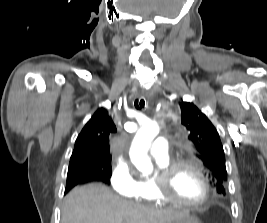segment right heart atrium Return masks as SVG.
<instances>
[{
  "label": "right heart atrium",
  "instance_id": "1",
  "mask_svg": "<svg viewBox=\"0 0 267 223\" xmlns=\"http://www.w3.org/2000/svg\"><path fill=\"white\" fill-rule=\"evenodd\" d=\"M110 183L113 190L121 195H132L137 186V180L129 163L125 160L117 162L114 166Z\"/></svg>",
  "mask_w": 267,
  "mask_h": 223
}]
</instances>
